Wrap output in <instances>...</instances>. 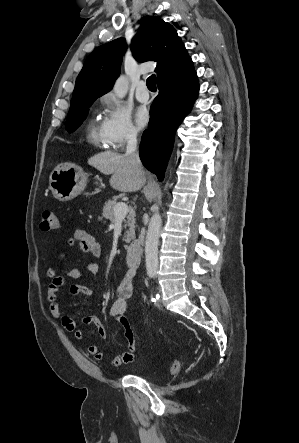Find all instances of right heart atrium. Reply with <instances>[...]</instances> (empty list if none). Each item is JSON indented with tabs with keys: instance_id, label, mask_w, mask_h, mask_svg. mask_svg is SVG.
<instances>
[{
	"instance_id": "1",
	"label": "right heart atrium",
	"mask_w": 299,
	"mask_h": 443,
	"mask_svg": "<svg viewBox=\"0 0 299 443\" xmlns=\"http://www.w3.org/2000/svg\"><path fill=\"white\" fill-rule=\"evenodd\" d=\"M101 104L104 108V118L100 127L107 146L118 149L135 141L138 130L128 109L112 94L102 96Z\"/></svg>"
}]
</instances>
